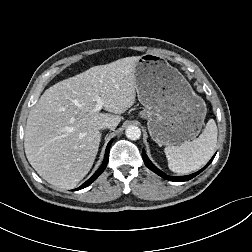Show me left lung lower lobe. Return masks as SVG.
I'll list each match as a JSON object with an SVG mask.
<instances>
[{
	"instance_id": "1",
	"label": "left lung lower lobe",
	"mask_w": 252,
	"mask_h": 252,
	"mask_svg": "<svg viewBox=\"0 0 252 252\" xmlns=\"http://www.w3.org/2000/svg\"><path fill=\"white\" fill-rule=\"evenodd\" d=\"M142 157L144 160L145 165L152 170L153 172H155L156 174H158L159 176H161L164 179L170 180V181H175V182H181V181H188L190 179H192L193 177H195L196 175H198L199 173H201L214 159L215 155L212 157V159L208 162V164L202 168L201 170H199L196 173H193L191 175H187V176H168L166 174H164L161 170H159L147 157V155L145 154V151L143 149L142 151Z\"/></svg>"
}]
</instances>
